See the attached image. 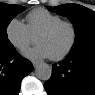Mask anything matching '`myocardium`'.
Segmentation results:
<instances>
[{"label":"myocardium","mask_w":95,"mask_h":95,"mask_svg":"<svg viewBox=\"0 0 95 95\" xmlns=\"http://www.w3.org/2000/svg\"><path fill=\"white\" fill-rule=\"evenodd\" d=\"M61 26H68L71 29L72 38H71L70 44L68 45V47L62 53H60L58 55L50 56V58L52 60H55V61H59V60L64 59L74 49V47L76 45V42H77V39H78V31H77L76 25L73 22L62 20V21H59L55 24L50 25L49 27L43 29L42 31H40L38 33V35L51 34Z\"/></svg>","instance_id":"f54148a6"}]
</instances>
